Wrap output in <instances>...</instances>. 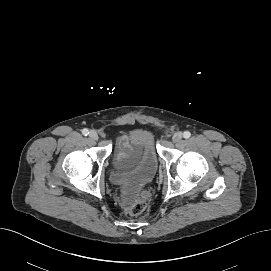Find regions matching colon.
I'll list each match as a JSON object with an SVG mask.
<instances>
[{
  "label": "colon",
  "mask_w": 271,
  "mask_h": 271,
  "mask_svg": "<svg viewBox=\"0 0 271 271\" xmlns=\"http://www.w3.org/2000/svg\"><path fill=\"white\" fill-rule=\"evenodd\" d=\"M146 207H147L146 202L144 200H139L134 204L128 206L125 212L129 216H138L145 211Z\"/></svg>",
  "instance_id": "colon-1"
}]
</instances>
